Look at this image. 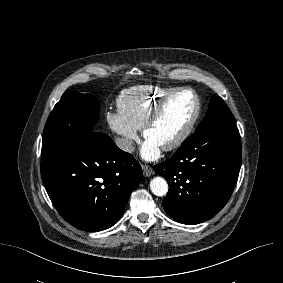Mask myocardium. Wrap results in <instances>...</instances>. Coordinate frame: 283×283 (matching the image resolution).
<instances>
[{
    "label": "myocardium",
    "instance_id": "myocardium-1",
    "mask_svg": "<svg viewBox=\"0 0 283 283\" xmlns=\"http://www.w3.org/2000/svg\"><path fill=\"white\" fill-rule=\"evenodd\" d=\"M184 92H189L193 96L195 100V110L190 120L188 121L186 126L181 130V132L174 139H172L169 143L161 147L165 151H170V150H173L179 147L181 144H183L187 140V138L193 132L199 120L200 114H201V101H200L198 94L193 89L188 88V87H182V88H177V89L172 90L171 92H169L167 95H165L162 99H160L156 103V105L153 107V109L151 110L150 114L148 115V117L146 118L142 126L143 136L147 138V133L150 127L154 124V122L160 116L165 106L170 102V100L174 96L180 93H184Z\"/></svg>",
    "mask_w": 283,
    "mask_h": 283
}]
</instances>
